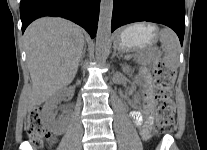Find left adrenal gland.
Listing matches in <instances>:
<instances>
[{
	"label": "left adrenal gland",
	"mask_w": 207,
	"mask_h": 150,
	"mask_svg": "<svg viewBox=\"0 0 207 150\" xmlns=\"http://www.w3.org/2000/svg\"><path fill=\"white\" fill-rule=\"evenodd\" d=\"M113 57L117 56L118 58H120L121 56L119 54L116 53V49L114 48V52H113Z\"/></svg>",
	"instance_id": "obj_1"
}]
</instances>
